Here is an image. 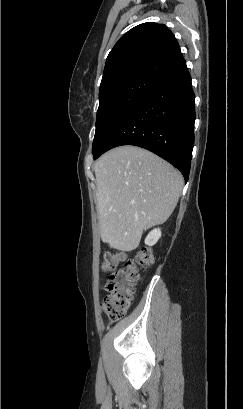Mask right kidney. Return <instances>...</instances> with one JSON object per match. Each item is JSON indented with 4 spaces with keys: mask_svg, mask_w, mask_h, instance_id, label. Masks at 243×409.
<instances>
[{
    "mask_svg": "<svg viewBox=\"0 0 243 409\" xmlns=\"http://www.w3.org/2000/svg\"><path fill=\"white\" fill-rule=\"evenodd\" d=\"M161 237V230L159 228L152 230L145 239V244L148 246H153L157 243Z\"/></svg>",
    "mask_w": 243,
    "mask_h": 409,
    "instance_id": "right-kidney-1",
    "label": "right kidney"
}]
</instances>
